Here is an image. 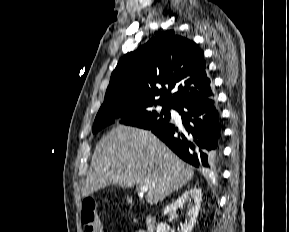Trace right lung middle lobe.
<instances>
[{"mask_svg":"<svg viewBox=\"0 0 289 232\" xmlns=\"http://www.w3.org/2000/svg\"><path fill=\"white\" fill-rule=\"evenodd\" d=\"M162 106L161 111L154 108ZM170 106L145 101L133 97H113L106 99L100 107L93 125V133L98 132L121 118V123L143 129H152L169 122Z\"/></svg>","mask_w":289,"mask_h":232,"instance_id":"dd1d6c3e","label":"right lung middle lobe"}]
</instances>
